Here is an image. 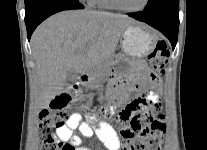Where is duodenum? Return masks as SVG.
<instances>
[{"label":"duodenum","mask_w":207,"mask_h":150,"mask_svg":"<svg viewBox=\"0 0 207 150\" xmlns=\"http://www.w3.org/2000/svg\"><path fill=\"white\" fill-rule=\"evenodd\" d=\"M90 80L89 75L83 74L79 77L78 81L75 83V87H80L88 83Z\"/></svg>","instance_id":"1"}]
</instances>
